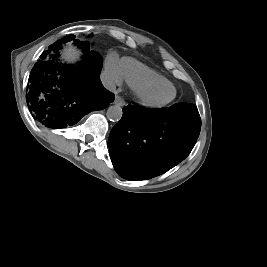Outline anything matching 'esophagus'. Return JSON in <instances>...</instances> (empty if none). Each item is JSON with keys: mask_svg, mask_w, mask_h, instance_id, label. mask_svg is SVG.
<instances>
[{"mask_svg": "<svg viewBox=\"0 0 267 267\" xmlns=\"http://www.w3.org/2000/svg\"><path fill=\"white\" fill-rule=\"evenodd\" d=\"M114 104L119 105V106H124L125 101L120 96L117 95L115 97Z\"/></svg>", "mask_w": 267, "mask_h": 267, "instance_id": "esophagus-1", "label": "esophagus"}]
</instances>
